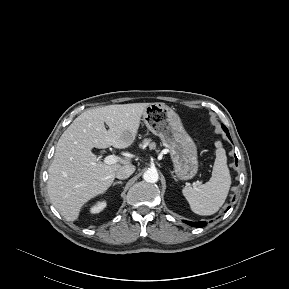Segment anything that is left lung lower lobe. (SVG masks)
Instances as JSON below:
<instances>
[{
	"label": "left lung lower lobe",
	"mask_w": 289,
	"mask_h": 289,
	"mask_svg": "<svg viewBox=\"0 0 289 289\" xmlns=\"http://www.w3.org/2000/svg\"><path fill=\"white\" fill-rule=\"evenodd\" d=\"M225 132H226V135L228 136V138L231 140L228 130H225ZM236 163H237V158H236ZM183 222L190 225V226L198 227V228L204 227L206 225L205 222H191V221H185V220Z\"/></svg>",
	"instance_id": "left-lung-lower-lobe-1"
}]
</instances>
